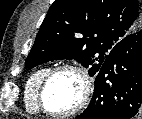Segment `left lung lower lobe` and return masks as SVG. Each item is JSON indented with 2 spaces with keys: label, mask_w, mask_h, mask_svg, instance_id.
Wrapping results in <instances>:
<instances>
[{
  "label": "left lung lower lobe",
  "mask_w": 142,
  "mask_h": 119,
  "mask_svg": "<svg viewBox=\"0 0 142 119\" xmlns=\"http://www.w3.org/2000/svg\"><path fill=\"white\" fill-rule=\"evenodd\" d=\"M142 114V30L125 36L96 74L89 106L75 119H135Z\"/></svg>",
  "instance_id": "1"
}]
</instances>
